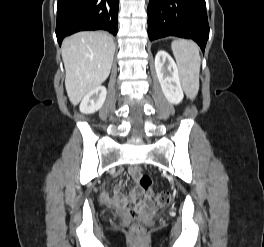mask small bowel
<instances>
[{
	"mask_svg": "<svg viewBox=\"0 0 264 247\" xmlns=\"http://www.w3.org/2000/svg\"><path fill=\"white\" fill-rule=\"evenodd\" d=\"M129 174L134 179H136L140 175V171L137 168L132 167L129 169ZM122 186H123V183L119 182L118 185L114 188L112 197L110 199L112 203L117 204V205H123L127 202V197L121 193ZM137 196H143L146 199L149 198V194L147 192H145L139 187H135L131 194V197L135 199Z\"/></svg>",
	"mask_w": 264,
	"mask_h": 247,
	"instance_id": "small-bowel-1",
	"label": "small bowel"
}]
</instances>
